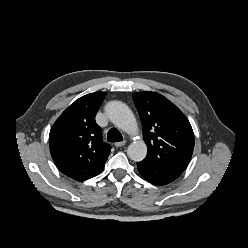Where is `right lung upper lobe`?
Listing matches in <instances>:
<instances>
[{"mask_svg":"<svg viewBox=\"0 0 248 248\" xmlns=\"http://www.w3.org/2000/svg\"><path fill=\"white\" fill-rule=\"evenodd\" d=\"M105 92L82 96L72 103L53 124L50 153L57 168L77 181L99 174L111 147L102 142L101 128L95 122Z\"/></svg>","mask_w":248,"mask_h":248,"instance_id":"obj_1","label":"right lung upper lobe"}]
</instances>
